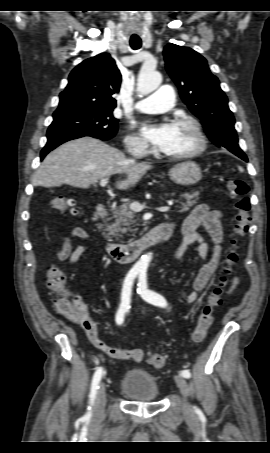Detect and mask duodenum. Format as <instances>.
Segmentation results:
<instances>
[{"label":"duodenum","mask_w":270,"mask_h":453,"mask_svg":"<svg viewBox=\"0 0 270 453\" xmlns=\"http://www.w3.org/2000/svg\"><path fill=\"white\" fill-rule=\"evenodd\" d=\"M107 212L108 208L105 205H99L96 209L99 218L105 217ZM173 231L174 226L171 222H164L133 242L127 244H107L106 252L114 261L127 263L138 258L149 247L169 239Z\"/></svg>","instance_id":"1"}]
</instances>
